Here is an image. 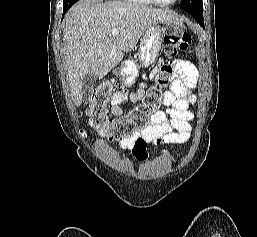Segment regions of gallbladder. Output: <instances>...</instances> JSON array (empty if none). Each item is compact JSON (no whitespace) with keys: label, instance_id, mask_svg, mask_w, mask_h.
Returning <instances> with one entry per match:
<instances>
[{"label":"gallbladder","instance_id":"1","mask_svg":"<svg viewBox=\"0 0 257 237\" xmlns=\"http://www.w3.org/2000/svg\"><path fill=\"white\" fill-rule=\"evenodd\" d=\"M96 83V76L92 73H89L84 76L82 80V92L85 100H88L92 94Z\"/></svg>","mask_w":257,"mask_h":237}]
</instances>
